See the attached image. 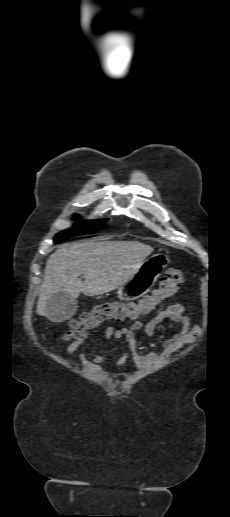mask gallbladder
I'll list each match as a JSON object with an SVG mask.
<instances>
[{"instance_id": "gallbladder-1", "label": "gallbladder", "mask_w": 230, "mask_h": 517, "mask_svg": "<svg viewBox=\"0 0 230 517\" xmlns=\"http://www.w3.org/2000/svg\"><path fill=\"white\" fill-rule=\"evenodd\" d=\"M77 302L64 292H57L50 296L46 303L47 318L54 322L70 319L77 310Z\"/></svg>"}]
</instances>
